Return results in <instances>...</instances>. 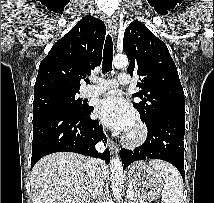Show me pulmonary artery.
Here are the masks:
<instances>
[{"instance_id":"1","label":"pulmonary artery","mask_w":214,"mask_h":203,"mask_svg":"<svg viewBox=\"0 0 214 203\" xmlns=\"http://www.w3.org/2000/svg\"><path fill=\"white\" fill-rule=\"evenodd\" d=\"M130 83V75L128 73H120L117 79L101 80L97 85L88 86L84 91V95L86 97L97 96L116 88L119 84L128 85Z\"/></svg>"}]
</instances>
